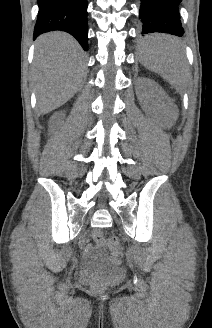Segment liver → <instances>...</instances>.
<instances>
[{"label": "liver", "instance_id": "1", "mask_svg": "<svg viewBox=\"0 0 212 328\" xmlns=\"http://www.w3.org/2000/svg\"><path fill=\"white\" fill-rule=\"evenodd\" d=\"M84 54L67 33L51 32L36 41L33 82L37 107L44 115L66 103L86 75Z\"/></svg>", "mask_w": 212, "mask_h": 328}]
</instances>
